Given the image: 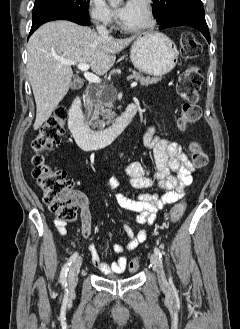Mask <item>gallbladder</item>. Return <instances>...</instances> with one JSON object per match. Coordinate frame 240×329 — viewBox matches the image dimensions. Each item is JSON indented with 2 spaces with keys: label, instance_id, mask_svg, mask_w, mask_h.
<instances>
[{
  "label": "gallbladder",
  "instance_id": "bac80fb5",
  "mask_svg": "<svg viewBox=\"0 0 240 329\" xmlns=\"http://www.w3.org/2000/svg\"><path fill=\"white\" fill-rule=\"evenodd\" d=\"M79 87H80V84L76 80L71 84L72 89H78Z\"/></svg>",
  "mask_w": 240,
  "mask_h": 329
}]
</instances>
